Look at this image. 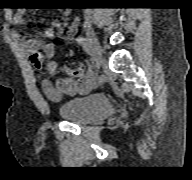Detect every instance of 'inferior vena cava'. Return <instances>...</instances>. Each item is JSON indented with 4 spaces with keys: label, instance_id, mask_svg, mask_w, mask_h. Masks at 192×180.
<instances>
[{
    "label": "inferior vena cava",
    "instance_id": "obj_1",
    "mask_svg": "<svg viewBox=\"0 0 192 180\" xmlns=\"http://www.w3.org/2000/svg\"><path fill=\"white\" fill-rule=\"evenodd\" d=\"M85 13H86L87 15H90V11H89V10H86Z\"/></svg>",
    "mask_w": 192,
    "mask_h": 180
}]
</instances>
